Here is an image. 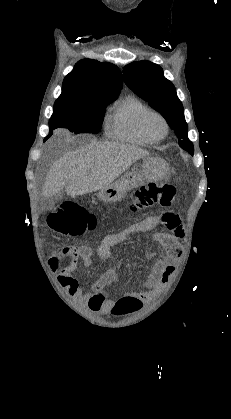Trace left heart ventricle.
<instances>
[{
    "label": "left heart ventricle",
    "mask_w": 231,
    "mask_h": 419,
    "mask_svg": "<svg viewBox=\"0 0 231 419\" xmlns=\"http://www.w3.org/2000/svg\"><path fill=\"white\" fill-rule=\"evenodd\" d=\"M147 130L153 137H160L164 133V124L160 118L152 116L147 121Z\"/></svg>",
    "instance_id": "left-heart-ventricle-1"
}]
</instances>
